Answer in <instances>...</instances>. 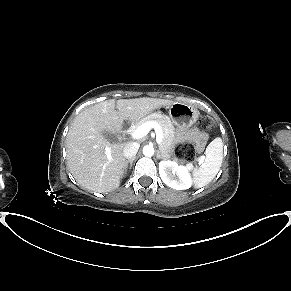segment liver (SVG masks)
<instances>
[{
    "mask_svg": "<svg viewBox=\"0 0 291 291\" xmlns=\"http://www.w3.org/2000/svg\"><path fill=\"white\" fill-rule=\"evenodd\" d=\"M172 103L147 97L110 99L83 110L72 122L66 137L67 166L77 183L100 193L118 188L121 173L127 168L123 155L126 144L111 143L104 133L116 135L125 120L136 122Z\"/></svg>",
    "mask_w": 291,
    "mask_h": 291,
    "instance_id": "1",
    "label": "liver"
}]
</instances>
